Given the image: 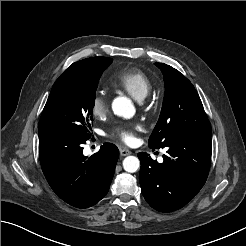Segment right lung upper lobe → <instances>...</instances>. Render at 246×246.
I'll use <instances>...</instances> for the list:
<instances>
[{
  "instance_id": "right-lung-upper-lobe-1",
  "label": "right lung upper lobe",
  "mask_w": 246,
  "mask_h": 246,
  "mask_svg": "<svg viewBox=\"0 0 246 246\" xmlns=\"http://www.w3.org/2000/svg\"><path fill=\"white\" fill-rule=\"evenodd\" d=\"M86 62V59L84 60H81V61H78V62H75L73 63L67 70H71L73 68H76L78 66H81L82 64H84Z\"/></svg>"
}]
</instances>
